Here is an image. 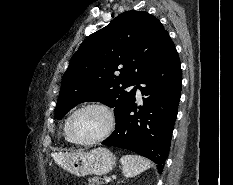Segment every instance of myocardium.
<instances>
[{"mask_svg":"<svg viewBox=\"0 0 233 185\" xmlns=\"http://www.w3.org/2000/svg\"><path fill=\"white\" fill-rule=\"evenodd\" d=\"M86 109H99L103 111L107 116L108 124H107L106 129L100 135L94 138L88 139V140H79L75 138L71 132V122L77 113L83 110H86ZM65 128H66V134L68 138L71 140V142L75 144H79V145H92V144H96V143H99L107 139L112 134L115 128V116H114L113 111L107 105L103 103L92 102V103L85 104L77 108L76 110H74L67 118Z\"/></svg>","mask_w":233,"mask_h":185,"instance_id":"f54148a6","label":"myocardium"}]
</instances>
